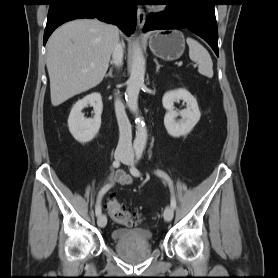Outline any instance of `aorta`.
<instances>
[{
  "label": "aorta",
  "instance_id": "aorta-1",
  "mask_svg": "<svg viewBox=\"0 0 278 278\" xmlns=\"http://www.w3.org/2000/svg\"><path fill=\"white\" fill-rule=\"evenodd\" d=\"M145 59L140 47L136 44L133 49L130 77L127 82L126 103L130 111L136 116V137L133 143L136 151H143L147 142V129L139 116L138 95L144 85Z\"/></svg>",
  "mask_w": 278,
  "mask_h": 278
}]
</instances>
